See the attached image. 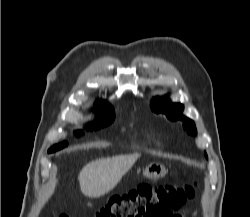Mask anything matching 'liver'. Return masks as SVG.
Masks as SVG:
<instances>
[{
	"instance_id": "6515ba94",
	"label": "liver",
	"mask_w": 250,
	"mask_h": 217,
	"mask_svg": "<svg viewBox=\"0 0 250 217\" xmlns=\"http://www.w3.org/2000/svg\"><path fill=\"white\" fill-rule=\"evenodd\" d=\"M139 157L140 154L119 155L88 163L78 177L81 192L89 198L107 194L116 187Z\"/></svg>"
}]
</instances>
